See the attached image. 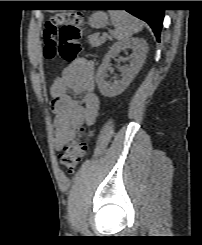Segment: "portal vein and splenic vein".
Segmentation results:
<instances>
[{"mask_svg":"<svg viewBox=\"0 0 202 245\" xmlns=\"http://www.w3.org/2000/svg\"><path fill=\"white\" fill-rule=\"evenodd\" d=\"M103 38H106L107 37V35L106 34H103V36H102Z\"/></svg>","mask_w":202,"mask_h":245,"instance_id":"portal-vein-and-splenic-vein-1","label":"portal vein and splenic vein"}]
</instances>
